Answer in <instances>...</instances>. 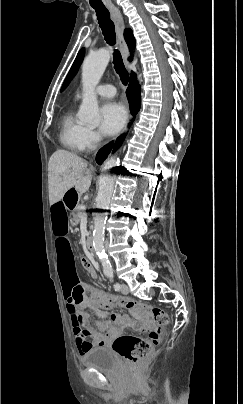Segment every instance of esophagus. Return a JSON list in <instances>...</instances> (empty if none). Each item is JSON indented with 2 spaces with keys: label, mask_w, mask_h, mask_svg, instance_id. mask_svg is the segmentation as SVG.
<instances>
[{
  "label": "esophagus",
  "mask_w": 243,
  "mask_h": 404,
  "mask_svg": "<svg viewBox=\"0 0 243 404\" xmlns=\"http://www.w3.org/2000/svg\"><path fill=\"white\" fill-rule=\"evenodd\" d=\"M108 8L110 10L111 16L115 23V28L117 31V42L119 44L123 60H124L125 64L128 66L129 65V62L127 60L128 48H127V45H126L124 37H123V32L125 30V23H124L123 16L117 7L111 6Z\"/></svg>",
  "instance_id": "1"
}]
</instances>
